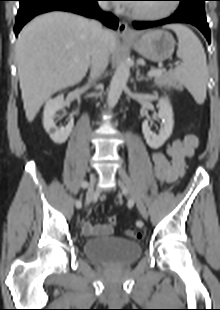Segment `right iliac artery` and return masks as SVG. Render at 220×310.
<instances>
[{"instance_id":"1","label":"right iliac artery","mask_w":220,"mask_h":310,"mask_svg":"<svg viewBox=\"0 0 220 310\" xmlns=\"http://www.w3.org/2000/svg\"><path fill=\"white\" fill-rule=\"evenodd\" d=\"M87 186H88V183H87V182L84 181V182L81 183V187H82V188H86ZM75 204H76V207H77V208H81V207H82V202H81V200H76V203H75Z\"/></svg>"}]
</instances>
